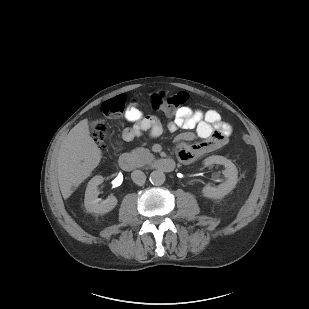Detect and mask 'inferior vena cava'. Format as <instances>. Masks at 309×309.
I'll use <instances>...</instances> for the list:
<instances>
[{"label": "inferior vena cava", "mask_w": 309, "mask_h": 309, "mask_svg": "<svg viewBox=\"0 0 309 309\" xmlns=\"http://www.w3.org/2000/svg\"><path fill=\"white\" fill-rule=\"evenodd\" d=\"M133 182L139 186L144 185L146 181V175L141 170H135L131 173Z\"/></svg>", "instance_id": "602c4592"}]
</instances>
